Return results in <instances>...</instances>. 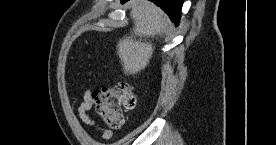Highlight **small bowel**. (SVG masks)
I'll return each instance as SVG.
<instances>
[{
    "instance_id": "obj_1",
    "label": "small bowel",
    "mask_w": 276,
    "mask_h": 145,
    "mask_svg": "<svg viewBox=\"0 0 276 145\" xmlns=\"http://www.w3.org/2000/svg\"><path fill=\"white\" fill-rule=\"evenodd\" d=\"M91 95H92V92L89 89L84 91L83 100L80 103L79 107L77 108V115L83 123L98 128L102 133V138L105 141H109L113 136L112 131L102 127L95 120V118L89 113V111L93 107V101H92Z\"/></svg>"
}]
</instances>
